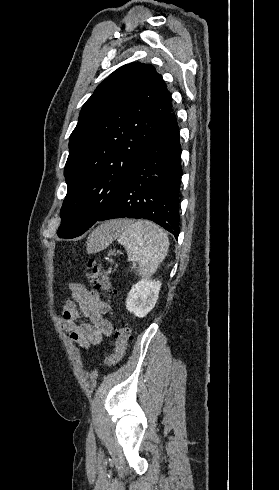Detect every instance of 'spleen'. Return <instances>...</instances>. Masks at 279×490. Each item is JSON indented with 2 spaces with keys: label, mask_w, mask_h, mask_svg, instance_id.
<instances>
[{
  "label": "spleen",
  "mask_w": 279,
  "mask_h": 490,
  "mask_svg": "<svg viewBox=\"0 0 279 490\" xmlns=\"http://www.w3.org/2000/svg\"><path fill=\"white\" fill-rule=\"evenodd\" d=\"M116 238L124 246L128 262H138L142 278H151L167 256L169 240L162 228L149 220H111L101 224L91 234L87 250L90 254L101 252Z\"/></svg>",
  "instance_id": "obj_1"
}]
</instances>
